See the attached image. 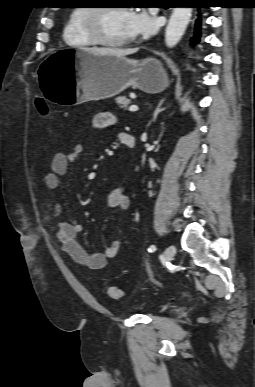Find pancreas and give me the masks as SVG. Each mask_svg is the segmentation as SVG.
Masks as SVG:
<instances>
[{"mask_svg":"<svg viewBox=\"0 0 255 387\" xmlns=\"http://www.w3.org/2000/svg\"><path fill=\"white\" fill-rule=\"evenodd\" d=\"M115 101L120 108H127L128 105L131 103V100L126 98L125 96L116 97Z\"/></svg>","mask_w":255,"mask_h":387,"instance_id":"obj_1","label":"pancreas"}]
</instances>
